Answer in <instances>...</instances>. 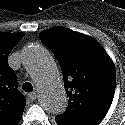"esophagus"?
<instances>
[{
	"instance_id": "34e87169",
	"label": "esophagus",
	"mask_w": 125,
	"mask_h": 125,
	"mask_svg": "<svg viewBox=\"0 0 125 125\" xmlns=\"http://www.w3.org/2000/svg\"><path fill=\"white\" fill-rule=\"evenodd\" d=\"M37 96H38V93L36 91L31 92V93L28 94V97L31 100H35L37 98Z\"/></svg>"
}]
</instances>
